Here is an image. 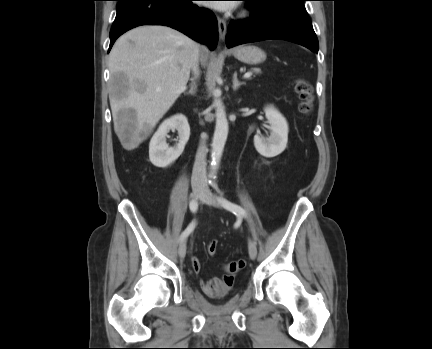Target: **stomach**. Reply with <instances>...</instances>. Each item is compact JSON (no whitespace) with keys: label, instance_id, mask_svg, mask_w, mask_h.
<instances>
[{"label":"stomach","instance_id":"obj_1","mask_svg":"<svg viewBox=\"0 0 432 349\" xmlns=\"http://www.w3.org/2000/svg\"><path fill=\"white\" fill-rule=\"evenodd\" d=\"M233 56L248 65H257L266 60V53L259 47L242 45L232 50Z\"/></svg>","mask_w":432,"mask_h":349}]
</instances>
